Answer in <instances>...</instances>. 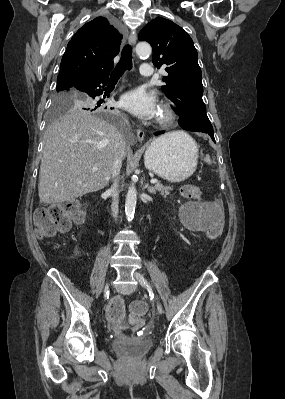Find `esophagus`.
I'll use <instances>...</instances> for the list:
<instances>
[{
	"label": "esophagus",
	"mask_w": 285,
	"mask_h": 399,
	"mask_svg": "<svg viewBox=\"0 0 285 399\" xmlns=\"http://www.w3.org/2000/svg\"><path fill=\"white\" fill-rule=\"evenodd\" d=\"M136 39H137V36H136V33H135V32H133V33H131V34L129 35L128 40H129V43H130L131 45H134V44L136 43ZM136 134H137V139H138V141H139V142H142L143 139H144V136H145L144 131H143L142 129H137Z\"/></svg>",
	"instance_id": "obj_1"
}]
</instances>
